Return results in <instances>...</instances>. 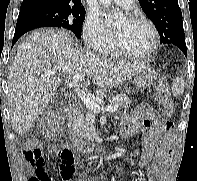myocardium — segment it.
<instances>
[{"label": "myocardium", "instance_id": "myocardium-1", "mask_svg": "<svg viewBox=\"0 0 197 181\" xmlns=\"http://www.w3.org/2000/svg\"><path fill=\"white\" fill-rule=\"evenodd\" d=\"M127 21L132 22V23H141L144 24L145 26L148 27V29L150 30L151 34H152V43L150 48L143 53H135V52H131L128 51L127 49H125L118 41L117 37L114 35V49L115 51L125 57L131 58V59H146L150 56H152L157 47H158V43H159V36H158V32L157 29L155 28V26L153 25V23L151 21H149L148 19H146L145 17L142 16H138V15H132L130 16Z\"/></svg>", "mask_w": 197, "mask_h": 181}]
</instances>
